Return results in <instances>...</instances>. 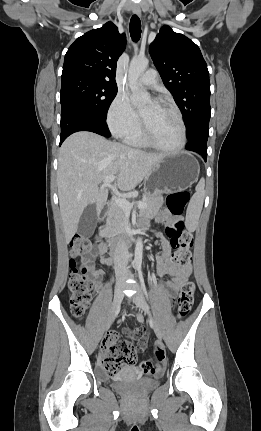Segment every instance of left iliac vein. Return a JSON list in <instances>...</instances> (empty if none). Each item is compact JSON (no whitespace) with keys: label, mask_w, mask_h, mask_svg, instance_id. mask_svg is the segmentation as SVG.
Segmentation results:
<instances>
[{"label":"left iliac vein","mask_w":261,"mask_h":431,"mask_svg":"<svg viewBox=\"0 0 261 431\" xmlns=\"http://www.w3.org/2000/svg\"><path fill=\"white\" fill-rule=\"evenodd\" d=\"M133 288L136 289V293L132 296V300L133 302L142 310L144 311L146 314H148L149 316H151L150 310H149V306L145 300V297L141 291V289L139 288L137 283L133 284ZM152 323H153V327H154V331L157 335V337L161 340L162 339V330L160 325L155 321V319L152 318Z\"/></svg>","instance_id":"obj_1"}]
</instances>
